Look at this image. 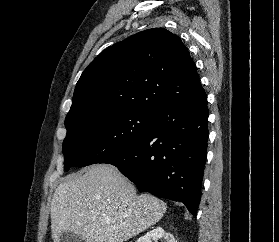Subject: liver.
I'll return each instance as SVG.
<instances>
[{"mask_svg": "<svg viewBox=\"0 0 279 242\" xmlns=\"http://www.w3.org/2000/svg\"><path fill=\"white\" fill-rule=\"evenodd\" d=\"M166 204L135 186L112 165L97 164L66 177L51 201L54 242L63 232L86 242H124L158 222Z\"/></svg>", "mask_w": 279, "mask_h": 242, "instance_id": "6515ba94", "label": "liver"}]
</instances>
